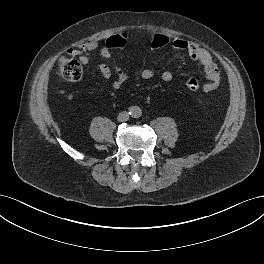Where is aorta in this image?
I'll return each mask as SVG.
<instances>
[{"mask_svg":"<svg viewBox=\"0 0 264 264\" xmlns=\"http://www.w3.org/2000/svg\"><path fill=\"white\" fill-rule=\"evenodd\" d=\"M130 114L133 118H139L142 115V110L138 106H133L130 110Z\"/></svg>","mask_w":264,"mask_h":264,"instance_id":"aorta-1","label":"aorta"}]
</instances>
